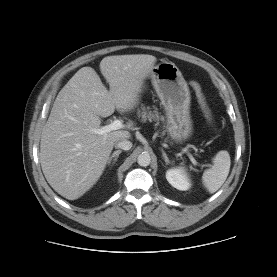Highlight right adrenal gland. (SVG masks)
Segmentation results:
<instances>
[{
	"mask_svg": "<svg viewBox=\"0 0 277 277\" xmlns=\"http://www.w3.org/2000/svg\"><path fill=\"white\" fill-rule=\"evenodd\" d=\"M122 150H116L113 152V154L110 156L107 164L110 165L111 164V161L112 159L114 160L113 164H115V162L117 161L119 155L121 154Z\"/></svg>",
	"mask_w": 277,
	"mask_h": 277,
	"instance_id": "obj_1",
	"label": "right adrenal gland"
}]
</instances>
